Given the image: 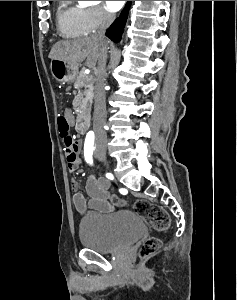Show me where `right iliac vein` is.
Here are the masks:
<instances>
[{
    "mask_svg": "<svg viewBox=\"0 0 237 300\" xmlns=\"http://www.w3.org/2000/svg\"><path fill=\"white\" fill-rule=\"evenodd\" d=\"M106 148L105 147H99L96 149L95 151V155H97L96 157L98 159H100L101 161L105 162L107 164V158H106Z\"/></svg>",
    "mask_w": 237,
    "mask_h": 300,
    "instance_id": "1",
    "label": "right iliac vein"
}]
</instances>
